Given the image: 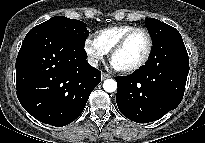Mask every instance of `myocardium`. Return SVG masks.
Segmentation results:
<instances>
[{"label": "myocardium", "mask_w": 205, "mask_h": 143, "mask_svg": "<svg viewBox=\"0 0 205 143\" xmlns=\"http://www.w3.org/2000/svg\"><path fill=\"white\" fill-rule=\"evenodd\" d=\"M136 32H143L147 36V40H148L147 51H146L144 57L142 58V60L139 63H137L136 65L129 67V68H125V69H119L123 73H134V72L140 70L141 68H143L147 64V62L149 61L151 54H152L153 39H152L151 33L149 32L148 29H146L144 27H135V28L131 29L130 31H128L127 33H125L122 36V38L115 44V46L110 51V60L111 61L113 60V57L125 47L126 43L130 39V37Z\"/></svg>", "instance_id": "1"}]
</instances>
